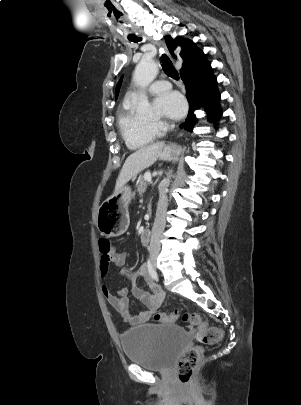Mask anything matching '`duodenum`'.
Wrapping results in <instances>:
<instances>
[{"instance_id":"410a0bca","label":"duodenum","mask_w":301,"mask_h":405,"mask_svg":"<svg viewBox=\"0 0 301 405\" xmlns=\"http://www.w3.org/2000/svg\"><path fill=\"white\" fill-rule=\"evenodd\" d=\"M140 240H141V243H142L143 245H148V244L150 243V231L147 230V229H144V230L141 232Z\"/></svg>"}]
</instances>
